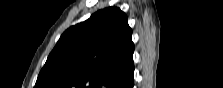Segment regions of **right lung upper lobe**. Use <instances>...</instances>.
Here are the masks:
<instances>
[{"instance_id":"1","label":"right lung upper lobe","mask_w":223,"mask_h":88,"mask_svg":"<svg viewBox=\"0 0 223 88\" xmlns=\"http://www.w3.org/2000/svg\"><path fill=\"white\" fill-rule=\"evenodd\" d=\"M131 36L119 8L97 11L62 34L35 88H127L134 80Z\"/></svg>"}]
</instances>
